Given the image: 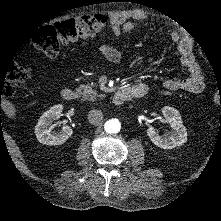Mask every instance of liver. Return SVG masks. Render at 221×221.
<instances>
[{"mask_svg":"<svg viewBox=\"0 0 221 221\" xmlns=\"http://www.w3.org/2000/svg\"><path fill=\"white\" fill-rule=\"evenodd\" d=\"M2 109L9 118L15 116L16 110L9 101H4L2 103Z\"/></svg>","mask_w":221,"mask_h":221,"instance_id":"liver-1","label":"liver"}]
</instances>
